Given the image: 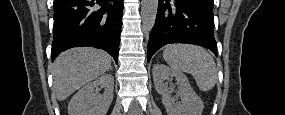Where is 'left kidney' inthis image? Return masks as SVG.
<instances>
[{
  "label": "left kidney",
  "instance_id": "left-kidney-1",
  "mask_svg": "<svg viewBox=\"0 0 285 115\" xmlns=\"http://www.w3.org/2000/svg\"><path fill=\"white\" fill-rule=\"evenodd\" d=\"M153 80L156 91L162 95V103L164 104L168 115H201L204 104L201 98L192 89L188 78L182 72L174 71L164 64H155L153 66ZM175 77L178 84L177 94L180 102H175L171 98V91L164 80Z\"/></svg>",
  "mask_w": 285,
  "mask_h": 115
}]
</instances>
